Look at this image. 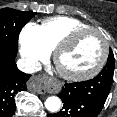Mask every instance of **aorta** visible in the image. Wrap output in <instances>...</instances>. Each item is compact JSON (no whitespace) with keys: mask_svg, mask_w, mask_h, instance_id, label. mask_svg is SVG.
Instances as JSON below:
<instances>
[{"mask_svg":"<svg viewBox=\"0 0 117 117\" xmlns=\"http://www.w3.org/2000/svg\"><path fill=\"white\" fill-rule=\"evenodd\" d=\"M45 107L48 111L55 113L61 107V100L56 96H50L45 101Z\"/></svg>","mask_w":117,"mask_h":117,"instance_id":"obj_1","label":"aorta"}]
</instances>
